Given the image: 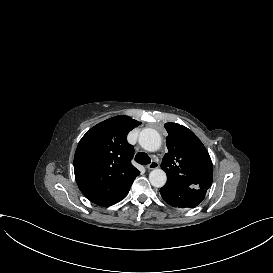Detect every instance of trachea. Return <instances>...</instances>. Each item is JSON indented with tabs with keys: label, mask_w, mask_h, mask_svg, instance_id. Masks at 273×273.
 Listing matches in <instances>:
<instances>
[{
	"label": "trachea",
	"mask_w": 273,
	"mask_h": 273,
	"mask_svg": "<svg viewBox=\"0 0 273 273\" xmlns=\"http://www.w3.org/2000/svg\"><path fill=\"white\" fill-rule=\"evenodd\" d=\"M135 161L141 165H147L151 163L150 157L144 152L137 153L135 156Z\"/></svg>",
	"instance_id": "trachea-1"
}]
</instances>
